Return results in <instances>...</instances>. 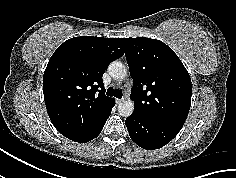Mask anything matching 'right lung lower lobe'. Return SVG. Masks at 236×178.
Returning a JSON list of instances; mask_svg holds the SVG:
<instances>
[{"label":"right lung lower lobe","instance_id":"right-lung-lower-lobe-1","mask_svg":"<svg viewBox=\"0 0 236 178\" xmlns=\"http://www.w3.org/2000/svg\"><path fill=\"white\" fill-rule=\"evenodd\" d=\"M107 119H108V118H107ZM107 119H106V120H107ZM105 122H106V121H105ZM105 122H104L95 132H93V133L90 134L89 136L84 137V138H81V139H77V140H74V141L80 142V143H85V142H88V141L94 139V138L97 137V136L100 134V132L102 131V128H103Z\"/></svg>","mask_w":236,"mask_h":178}]
</instances>
